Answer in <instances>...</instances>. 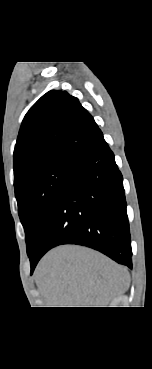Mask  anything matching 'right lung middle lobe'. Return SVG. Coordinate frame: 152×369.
Here are the masks:
<instances>
[{
    "label": "right lung middle lobe",
    "mask_w": 152,
    "mask_h": 369,
    "mask_svg": "<svg viewBox=\"0 0 152 369\" xmlns=\"http://www.w3.org/2000/svg\"><path fill=\"white\" fill-rule=\"evenodd\" d=\"M72 164L69 161L54 162L26 174L14 185L29 258Z\"/></svg>",
    "instance_id": "dd1d6c3e"
}]
</instances>
